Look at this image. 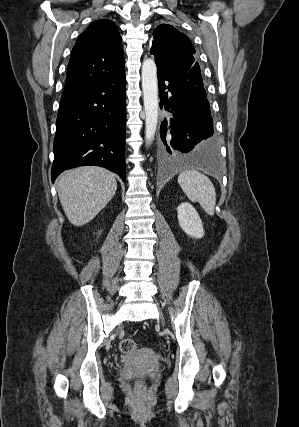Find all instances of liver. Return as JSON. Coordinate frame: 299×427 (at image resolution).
<instances>
[{"label": "liver", "instance_id": "liver-1", "mask_svg": "<svg viewBox=\"0 0 299 427\" xmlns=\"http://www.w3.org/2000/svg\"><path fill=\"white\" fill-rule=\"evenodd\" d=\"M116 189L114 174L96 166L67 171L57 181L61 205L75 226L90 222L113 198Z\"/></svg>", "mask_w": 299, "mask_h": 427}]
</instances>
